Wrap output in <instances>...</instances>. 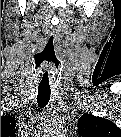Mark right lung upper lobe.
Listing matches in <instances>:
<instances>
[{"label": "right lung upper lobe", "instance_id": "right-lung-upper-lobe-1", "mask_svg": "<svg viewBox=\"0 0 121 137\" xmlns=\"http://www.w3.org/2000/svg\"><path fill=\"white\" fill-rule=\"evenodd\" d=\"M16 120L12 115L1 116V134L12 135L15 133Z\"/></svg>", "mask_w": 121, "mask_h": 137}]
</instances>
